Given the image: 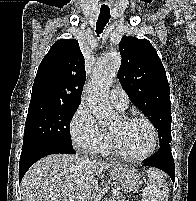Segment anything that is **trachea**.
I'll return each mask as SVG.
<instances>
[{
  "label": "trachea",
  "instance_id": "trachea-1",
  "mask_svg": "<svg viewBox=\"0 0 196 201\" xmlns=\"http://www.w3.org/2000/svg\"><path fill=\"white\" fill-rule=\"evenodd\" d=\"M109 19H110V8L101 7L99 18L96 23V33L98 36L103 32L105 26L109 22Z\"/></svg>",
  "mask_w": 196,
  "mask_h": 201
}]
</instances>
